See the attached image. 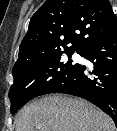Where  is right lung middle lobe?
I'll use <instances>...</instances> for the list:
<instances>
[{
  "instance_id": "right-lung-middle-lobe-1",
  "label": "right lung middle lobe",
  "mask_w": 117,
  "mask_h": 131,
  "mask_svg": "<svg viewBox=\"0 0 117 131\" xmlns=\"http://www.w3.org/2000/svg\"><path fill=\"white\" fill-rule=\"evenodd\" d=\"M62 53L70 58L73 52H52L37 62L12 71L14 83L9 91L11 114L33 98L48 94L62 84L73 67L70 59L66 63L60 62Z\"/></svg>"
}]
</instances>
